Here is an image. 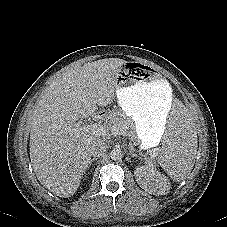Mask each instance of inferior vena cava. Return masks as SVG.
<instances>
[{
  "instance_id": "inferior-vena-cava-1",
  "label": "inferior vena cava",
  "mask_w": 227,
  "mask_h": 227,
  "mask_svg": "<svg viewBox=\"0 0 227 227\" xmlns=\"http://www.w3.org/2000/svg\"><path fill=\"white\" fill-rule=\"evenodd\" d=\"M107 144L105 140L98 139L90 147V153L94 157H100L106 151Z\"/></svg>"
}]
</instances>
